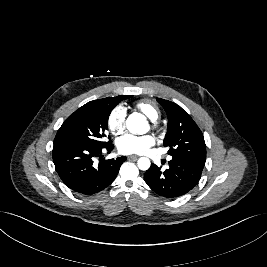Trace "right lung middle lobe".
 I'll return each mask as SVG.
<instances>
[{
	"instance_id": "1",
	"label": "right lung middle lobe",
	"mask_w": 267,
	"mask_h": 267,
	"mask_svg": "<svg viewBox=\"0 0 267 267\" xmlns=\"http://www.w3.org/2000/svg\"><path fill=\"white\" fill-rule=\"evenodd\" d=\"M132 97L124 96V100ZM120 101L110 98L94 100L86 103L62 124L54 139V146L76 145L87 147H106L112 144L105 141L108 129V117Z\"/></svg>"
}]
</instances>
